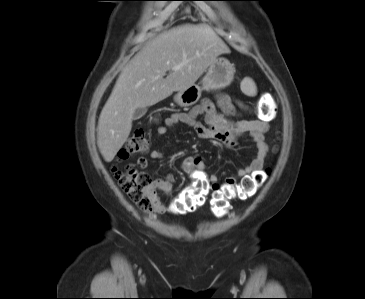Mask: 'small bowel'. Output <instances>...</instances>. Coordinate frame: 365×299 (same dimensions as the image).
I'll list each match as a JSON object with an SVG mask.
<instances>
[{
  "label": "small bowel",
  "instance_id": "obj_1",
  "mask_svg": "<svg viewBox=\"0 0 365 299\" xmlns=\"http://www.w3.org/2000/svg\"><path fill=\"white\" fill-rule=\"evenodd\" d=\"M218 104L222 110L218 112L214 104L208 100L194 106L189 112L173 113L164 119L163 124L156 130L158 136L165 135L168 130L172 129L178 123H184L191 126L195 133L204 139H213L224 143L229 147L237 145V139L247 134L253 140L256 148L255 157L243 168H239L235 175L226 179L227 183L236 182L246 175H250L260 171L263 167L264 160L268 153V145L265 141V133L269 128L267 120L244 119L239 121H231L228 119L237 106H242L240 103L233 101L227 95L218 97ZM202 117L203 120L199 118ZM150 157L153 160L163 158V154L158 150H152ZM137 165L140 168H146L148 160L145 157H140L137 160ZM181 168L189 173L196 181L204 182L210 185L217 184L219 178L215 174H207L205 164L200 156L185 157L181 163ZM174 181L173 175L156 178L151 182V187L154 192V212L164 213L172 211V207L164 204L156 195L155 191L170 193Z\"/></svg>",
  "mask_w": 365,
  "mask_h": 299
}]
</instances>
